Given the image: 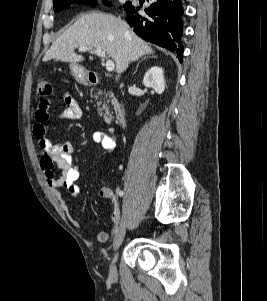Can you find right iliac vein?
<instances>
[{
    "label": "right iliac vein",
    "mask_w": 267,
    "mask_h": 301,
    "mask_svg": "<svg viewBox=\"0 0 267 301\" xmlns=\"http://www.w3.org/2000/svg\"><path fill=\"white\" fill-rule=\"evenodd\" d=\"M125 234H126V222H125V218H122L119 225L118 232L115 236L114 243H113L114 251H117L122 245L125 238ZM109 273L111 277L113 278L117 277V269L113 262L110 263Z\"/></svg>",
    "instance_id": "right-iliac-vein-1"
}]
</instances>
